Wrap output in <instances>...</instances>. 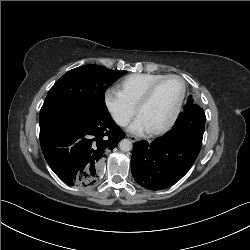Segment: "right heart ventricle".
Instances as JSON below:
<instances>
[{
    "instance_id": "1",
    "label": "right heart ventricle",
    "mask_w": 250,
    "mask_h": 250,
    "mask_svg": "<svg viewBox=\"0 0 250 250\" xmlns=\"http://www.w3.org/2000/svg\"><path fill=\"white\" fill-rule=\"evenodd\" d=\"M162 76H164V74L158 73L128 75L119 83V91L131 104L136 106L146 89Z\"/></svg>"
}]
</instances>
